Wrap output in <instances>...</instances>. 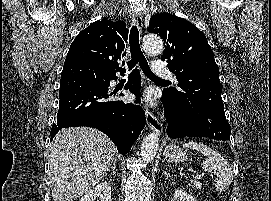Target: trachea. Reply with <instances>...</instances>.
I'll use <instances>...</instances> for the list:
<instances>
[{"mask_svg":"<svg viewBox=\"0 0 271 201\" xmlns=\"http://www.w3.org/2000/svg\"><path fill=\"white\" fill-rule=\"evenodd\" d=\"M129 45H130V52H131V60L127 62V66L129 70H132V68H134L137 64H139L143 73L148 78L162 80L161 78L153 74L145 56L143 55V52L141 51L140 43H139V31H138L137 26H132L130 30ZM122 65H125L124 61L122 62Z\"/></svg>","mask_w":271,"mask_h":201,"instance_id":"obj_1","label":"trachea"}]
</instances>
